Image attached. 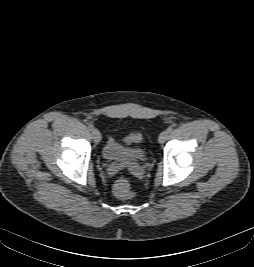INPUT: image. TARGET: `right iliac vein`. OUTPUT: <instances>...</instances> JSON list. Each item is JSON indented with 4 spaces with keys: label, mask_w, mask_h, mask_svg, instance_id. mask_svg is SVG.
Masks as SVG:
<instances>
[{
    "label": "right iliac vein",
    "mask_w": 254,
    "mask_h": 267,
    "mask_svg": "<svg viewBox=\"0 0 254 267\" xmlns=\"http://www.w3.org/2000/svg\"><path fill=\"white\" fill-rule=\"evenodd\" d=\"M92 136H93L94 142L99 143L101 141V134L98 129L94 128L92 130Z\"/></svg>",
    "instance_id": "1"
}]
</instances>
